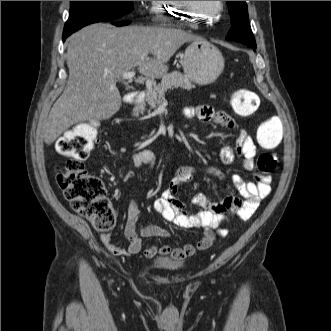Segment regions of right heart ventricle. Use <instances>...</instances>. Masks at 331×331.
<instances>
[{"label": "right heart ventricle", "instance_id": "obj_1", "mask_svg": "<svg viewBox=\"0 0 331 331\" xmlns=\"http://www.w3.org/2000/svg\"><path fill=\"white\" fill-rule=\"evenodd\" d=\"M178 6V1H154L152 11L155 20L160 23H174L177 17L185 14H181L182 12L178 9ZM193 23L195 24V22Z\"/></svg>", "mask_w": 331, "mask_h": 331}]
</instances>
